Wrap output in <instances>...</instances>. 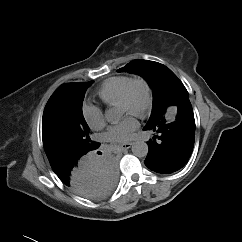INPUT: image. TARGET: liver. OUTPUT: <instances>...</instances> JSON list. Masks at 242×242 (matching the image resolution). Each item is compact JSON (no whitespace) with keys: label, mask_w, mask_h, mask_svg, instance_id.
<instances>
[{"label":"liver","mask_w":242,"mask_h":242,"mask_svg":"<svg viewBox=\"0 0 242 242\" xmlns=\"http://www.w3.org/2000/svg\"><path fill=\"white\" fill-rule=\"evenodd\" d=\"M102 189V184L100 181L98 180H94V178L92 180H90L89 182L86 183V189L85 190H75L78 194L80 195H84V193H88V194H97L100 190Z\"/></svg>","instance_id":"obj_1"}]
</instances>
